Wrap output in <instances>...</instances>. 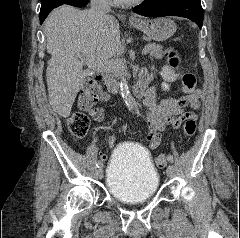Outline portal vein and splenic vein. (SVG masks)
I'll return each instance as SVG.
<instances>
[{"label": "portal vein and splenic vein", "instance_id": "1", "mask_svg": "<svg viewBox=\"0 0 240 238\" xmlns=\"http://www.w3.org/2000/svg\"><path fill=\"white\" fill-rule=\"evenodd\" d=\"M151 50L150 45H146L143 48V54H146ZM79 58L81 59L82 63H85L89 68L93 69H102V70H111L113 69L116 64L118 63L117 60H110V61H96L94 58H84L82 55H79Z\"/></svg>", "mask_w": 240, "mask_h": 238}]
</instances>
